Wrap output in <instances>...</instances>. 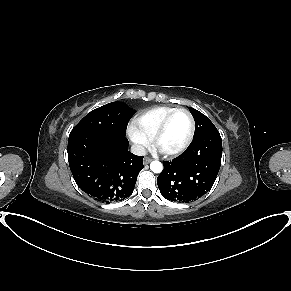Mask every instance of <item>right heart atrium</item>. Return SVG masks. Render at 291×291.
Here are the masks:
<instances>
[{
  "label": "right heart atrium",
  "instance_id": "obj_1",
  "mask_svg": "<svg viewBox=\"0 0 291 291\" xmlns=\"http://www.w3.org/2000/svg\"><path fill=\"white\" fill-rule=\"evenodd\" d=\"M128 135L138 150H143L150 143V140L135 125L128 127Z\"/></svg>",
  "mask_w": 291,
  "mask_h": 291
}]
</instances>
